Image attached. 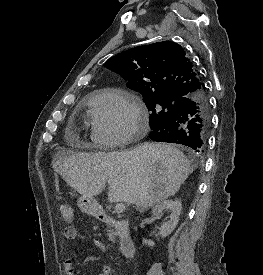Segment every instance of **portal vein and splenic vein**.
Segmentation results:
<instances>
[{
  "mask_svg": "<svg viewBox=\"0 0 263 275\" xmlns=\"http://www.w3.org/2000/svg\"><path fill=\"white\" fill-rule=\"evenodd\" d=\"M115 211L118 214L123 213L125 211V204H123V203H117L116 206H115Z\"/></svg>",
  "mask_w": 263,
  "mask_h": 275,
  "instance_id": "1",
  "label": "portal vein and splenic vein"
}]
</instances>
